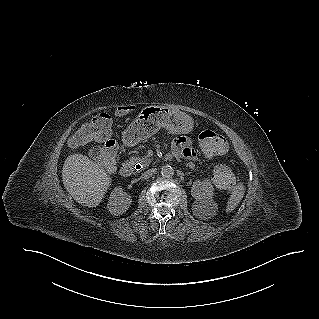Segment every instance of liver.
Instances as JSON below:
<instances>
[{
    "label": "liver",
    "instance_id": "1",
    "mask_svg": "<svg viewBox=\"0 0 319 319\" xmlns=\"http://www.w3.org/2000/svg\"><path fill=\"white\" fill-rule=\"evenodd\" d=\"M62 180L72 198L86 207L98 206L112 181L99 163L83 154H73L66 158Z\"/></svg>",
    "mask_w": 319,
    "mask_h": 319
}]
</instances>
